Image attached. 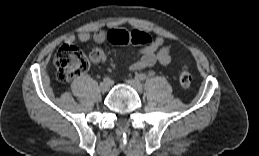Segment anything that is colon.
<instances>
[{
  "mask_svg": "<svg viewBox=\"0 0 259 156\" xmlns=\"http://www.w3.org/2000/svg\"><path fill=\"white\" fill-rule=\"evenodd\" d=\"M108 40L115 45H143L152 41L151 37L144 31H125L120 29L110 30ZM54 65L58 79L62 82H69L88 69L89 61L78 47L65 44L57 50L54 56ZM179 82L185 90L191 86L192 76L186 66L181 69Z\"/></svg>",
  "mask_w": 259,
  "mask_h": 156,
  "instance_id": "obj_1",
  "label": "colon"
}]
</instances>
